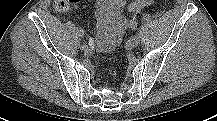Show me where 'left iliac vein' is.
<instances>
[{"label": "left iliac vein", "instance_id": "1", "mask_svg": "<svg viewBox=\"0 0 217 121\" xmlns=\"http://www.w3.org/2000/svg\"><path fill=\"white\" fill-rule=\"evenodd\" d=\"M140 44V37L139 36H133L128 40V45L130 47H137Z\"/></svg>", "mask_w": 217, "mask_h": 121}]
</instances>
